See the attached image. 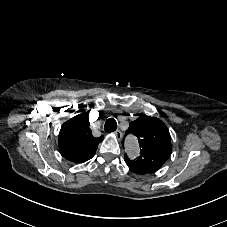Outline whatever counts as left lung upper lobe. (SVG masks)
I'll list each match as a JSON object with an SVG mask.
<instances>
[{
  "mask_svg": "<svg viewBox=\"0 0 227 227\" xmlns=\"http://www.w3.org/2000/svg\"><path fill=\"white\" fill-rule=\"evenodd\" d=\"M134 134L139 141L140 156L130 160L124 159L130 170L137 174L157 171L170 157L171 137L166 125L156 117L140 116L130 123L127 134Z\"/></svg>",
  "mask_w": 227,
  "mask_h": 227,
  "instance_id": "5c2ea615",
  "label": "left lung upper lobe"
}]
</instances>
